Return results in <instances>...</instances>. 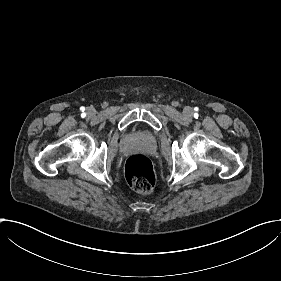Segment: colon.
Masks as SVG:
<instances>
[{"instance_id":"5ec220e1","label":"colon","mask_w":281,"mask_h":281,"mask_svg":"<svg viewBox=\"0 0 281 281\" xmlns=\"http://www.w3.org/2000/svg\"><path fill=\"white\" fill-rule=\"evenodd\" d=\"M124 172L127 183L136 191H149L156 183L152 163L143 155H130L125 162Z\"/></svg>"}]
</instances>
